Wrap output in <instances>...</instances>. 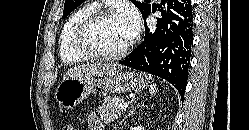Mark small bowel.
Listing matches in <instances>:
<instances>
[{
	"label": "small bowel",
	"instance_id": "small-bowel-1",
	"mask_svg": "<svg viewBox=\"0 0 249 130\" xmlns=\"http://www.w3.org/2000/svg\"><path fill=\"white\" fill-rule=\"evenodd\" d=\"M87 125L89 130H103V124L94 112L88 115Z\"/></svg>",
	"mask_w": 249,
	"mask_h": 130
}]
</instances>
